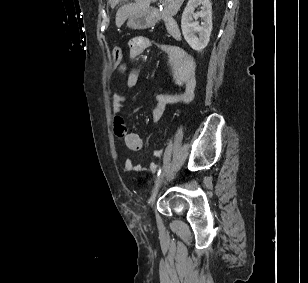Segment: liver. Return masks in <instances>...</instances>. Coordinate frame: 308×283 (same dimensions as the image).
I'll return each instance as SVG.
<instances>
[{"label":"liver","instance_id":"liver-1","mask_svg":"<svg viewBox=\"0 0 308 283\" xmlns=\"http://www.w3.org/2000/svg\"><path fill=\"white\" fill-rule=\"evenodd\" d=\"M123 0H109L111 7H115ZM152 0H135L134 3L126 4L120 7L116 13L115 23L121 27L130 16L138 13H146ZM165 2L164 13L173 16L177 14L184 0H163Z\"/></svg>","mask_w":308,"mask_h":283}]
</instances>
